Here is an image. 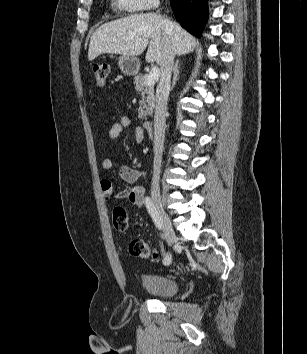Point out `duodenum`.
I'll use <instances>...</instances> for the list:
<instances>
[{
  "label": "duodenum",
  "mask_w": 307,
  "mask_h": 354,
  "mask_svg": "<svg viewBox=\"0 0 307 354\" xmlns=\"http://www.w3.org/2000/svg\"><path fill=\"white\" fill-rule=\"evenodd\" d=\"M143 128L151 137H153V122L152 121H150V120L144 121Z\"/></svg>",
  "instance_id": "1"
}]
</instances>
